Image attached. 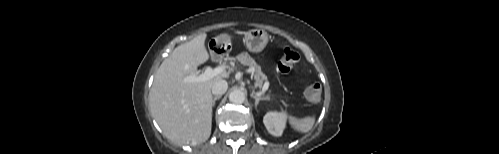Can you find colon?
Wrapping results in <instances>:
<instances>
[{
    "mask_svg": "<svg viewBox=\"0 0 499 154\" xmlns=\"http://www.w3.org/2000/svg\"><path fill=\"white\" fill-rule=\"evenodd\" d=\"M299 61V54L291 49L285 48L282 56L278 62V69L282 73L291 72ZM322 96V89L319 83L314 82L307 86L305 90V97L311 102H318Z\"/></svg>",
    "mask_w": 499,
    "mask_h": 154,
    "instance_id": "colon-1",
    "label": "colon"
}]
</instances>
